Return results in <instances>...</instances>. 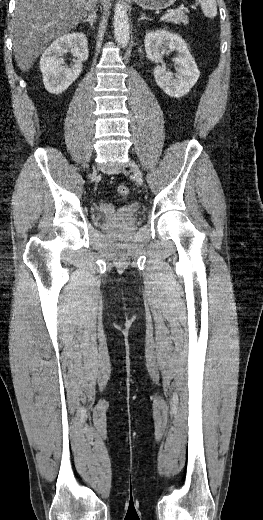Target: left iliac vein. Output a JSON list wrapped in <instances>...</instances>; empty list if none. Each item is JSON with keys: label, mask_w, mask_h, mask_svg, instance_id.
Segmentation results:
<instances>
[{"label": "left iliac vein", "mask_w": 263, "mask_h": 520, "mask_svg": "<svg viewBox=\"0 0 263 520\" xmlns=\"http://www.w3.org/2000/svg\"><path fill=\"white\" fill-rule=\"evenodd\" d=\"M129 165H130V169H131L136 181L141 184L143 182L141 170L139 169L137 164L132 160L129 162Z\"/></svg>", "instance_id": "4c4485c4"}]
</instances>
